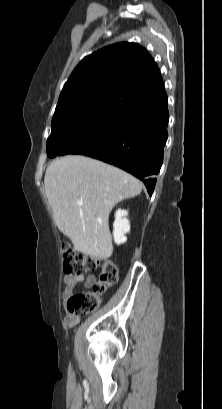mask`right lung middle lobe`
<instances>
[{
    "mask_svg": "<svg viewBox=\"0 0 222 409\" xmlns=\"http://www.w3.org/2000/svg\"><path fill=\"white\" fill-rule=\"evenodd\" d=\"M120 104L102 102L68 107L54 113L47 140L50 158L66 154L87 155L96 150L108 133Z\"/></svg>",
    "mask_w": 222,
    "mask_h": 409,
    "instance_id": "1",
    "label": "right lung middle lobe"
}]
</instances>
